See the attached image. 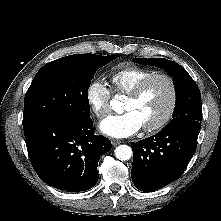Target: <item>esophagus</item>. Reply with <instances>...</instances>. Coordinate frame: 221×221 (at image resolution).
Instances as JSON below:
<instances>
[{
    "label": "esophagus",
    "mask_w": 221,
    "mask_h": 221,
    "mask_svg": "<svg viewBox=\"0 0 221 221\" xmlns=\"http://www.w3.org/2000/svg\"><path fill=\"white\" fill-rule=\"evenodd\" d=\"M111 142L113 146H117L118 144L122 143V141L118 139H112Z\"/></svg>",
    "instance_id": "1"
}]
</instances>
